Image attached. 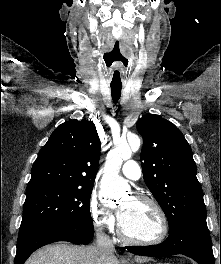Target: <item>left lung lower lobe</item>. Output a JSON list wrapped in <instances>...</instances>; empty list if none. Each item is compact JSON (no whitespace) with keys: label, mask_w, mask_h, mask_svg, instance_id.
<instances>
[{"label":"left lung lower lobe","mask_w":221,"mask_h":264,"mask_svg":"<svg viewBox=\"0 0 221 264\" xmlns=\"http://www.w3.org/2000/svg\"><path fill=\"white\" fill-rule=\"evenodd\" d=\"M127 250L143 256L186 255L199 264H214V256L207 224L183 225L170 229L168 238L152 246H131Z\"/></svg>","instance_id":"obj_1"}]
</instances>
